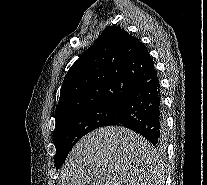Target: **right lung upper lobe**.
Here are the masks:
<instances>
[{"instance_id":"obj_1","label":"right lung upper lobe","mask_w":207,"mask_h":185,"mask_svg":"<svg viewBox=\"0 0 207 185\" xmlns=\"http://www.w3.org/2000/svg\"><path fill=\"white\" fill-rule=\"evenodd\" d=\"M157 77L147 48L124 29L107 26L65 76L56 123L103 104H120Z\"/></svg>"}]
</instances>
